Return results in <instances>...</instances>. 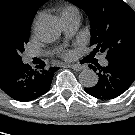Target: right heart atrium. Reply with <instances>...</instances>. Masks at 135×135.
I'll list each match as a JSON object with an SVG mask.
<instances>
[{
	"instance_id": "d8ad5b80",
	"label": "right heart atrium",
	"mask_w": 135,
	"mask_h": 135,
	"mask_svg": "<svg viewBox=\"0 0 135 135\" xmlns=\"http://www.w3.org/2000/svg\"><path fill=\"white\" fill-rule=\"evenodd\" d=\"M42 17V14L40 13L37 17V21Z\"/></svg>"
}]
</instances>
